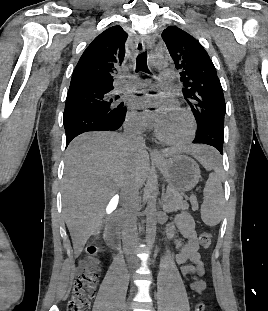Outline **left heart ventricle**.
Masks as SVG:
<instances>
[{"mask_svg": "<svg viewBox=\"0 0 268 311\" xmlns=\"http://www.w3.org/2000/svg\"><path fill=\"white\" fill-rule=\"evenodd\" d=\"M162 133L170 138H179L187 131L185 118L176 111L168 120L159 125Z\"/></svg>", "mask_w": 268, "mask_h": 311, "instance_id": "b2bd125f", "label": "left heart ventricle"}]
</instances>
